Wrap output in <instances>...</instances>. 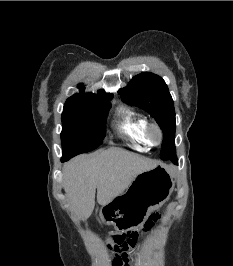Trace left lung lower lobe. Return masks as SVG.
Returning <instances> with one entry per match:
<instances>
[{"label":"left lung lower lobe","instance_id":"0a47b994","mask_svg":"<svg viewBox=\"0 0 233 266\" xmlns=\"http://www.w3.org/2000/svg\"><path fill=\"white\" fill-rule=\"evenodd\" d=\"M170 160L174 163H177L176 152L170 157Z\"/></svg>","mask_w":233,"mask_h":266}]
</instances>
